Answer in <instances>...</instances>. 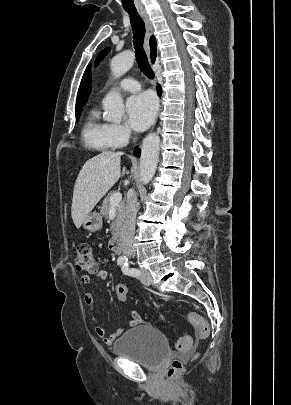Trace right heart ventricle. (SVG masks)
Segmentation results:
<instances>
[{
  "label": "right heart ventricle",
  "instance_id": "right-heart-ventricle-1",
  "mask_svg": "<svg viewBox=\"0 0 291 405\" xmlns=\"http://www.w3.org/2000/svg\"><path fill=\"white\" fill-rule=\"evenodd\" d=\"M109 125L100 118L95 108L91 109L87 114L82 129L85 144L99 151L114 148L115 146L109 134Z\"/></svg>",
  "mask_w": 291,
  "mask_h": 405
}]
</instances>
